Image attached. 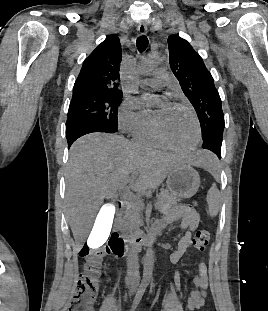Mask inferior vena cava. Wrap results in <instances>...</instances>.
<instances>
[{"mask_svg":"<svg viewBox=\"0 0 268 311\" xmlns=\"http://www.w3.org/2000/svg\"><path fill=\"white\" fill-rule=\"evenodd\" d=\"M127 266L131 269V268H138V255L136 252H131L129 253L128 257H127ZM138 277L139 274L136 271L133 275V277H129V280L132 281V284L136 285L138 282Z\"/></svg>","mask_w":268,"mask_h":311,"instance_id":"obj_1","label":"inferior vena cava"}]
</instances>
